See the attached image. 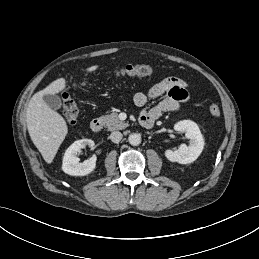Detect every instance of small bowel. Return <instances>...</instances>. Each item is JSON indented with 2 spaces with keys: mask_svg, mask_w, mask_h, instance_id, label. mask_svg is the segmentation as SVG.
I'll return each instance as SVG.
<instances>
[{
  "mask_svg": "<svg viewBox=\"0 0 259 259\" xmlns=\"http://www.w3.org/2000/svg\"><path fill=\"white\" fill-rule=\"evenodd\" d=\"M165 96L156 106L143 109L141 116H148L154 120L165 112L178 111L189 99L186 83L176 77H166L153 85L147 92H137L134 102L139 107H145L150 99Z\"/></svg>",
  "mask_w": 259,
  "mask_h": 259,
  "instance_id": "c3829d8e",
  "label": "small bowel"
}]
</instances>
